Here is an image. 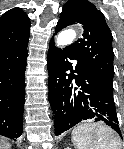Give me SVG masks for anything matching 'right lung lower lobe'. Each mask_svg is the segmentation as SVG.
<instances>
[{
  "mask_svg": "<svg viewBox=\"0 0 124 149\" xmlns=\"http://www.w3.org/2000/svg\"><path fill=\"white\" fill-rule=\"evenodd\" d=\"M27 46L0 49V135L15 141L23 128Z\"/></svg>",
  "mask_w": 124,
  "mask_h": 149,
  "instance_id": "1",
  "label": "right lung lower lobe"
}]
</instances>
